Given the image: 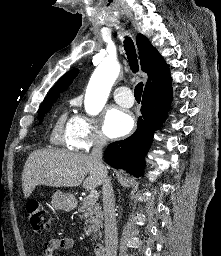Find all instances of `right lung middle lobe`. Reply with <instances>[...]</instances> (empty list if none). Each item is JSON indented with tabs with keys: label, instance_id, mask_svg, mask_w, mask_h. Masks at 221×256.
Instances as JSON below:
<instances>
[{
	"label": "right lung middle lobe",
	"instance_id": "right-lung-middle-lobe-1",
	"mask_svg": "<svg viewBox=\"0 0 221 256\" xmlns=\"http://www.w3.org/2000/svg\"><path fill=\"white\" fill-rule=\"evenodd\" d=\"M58 96H51L43 101L41 104L39 110H38V119L40 124L43 121L44 115L50 110L52 107V103H54L57 100Z\"/></svg>",
	"mask_w": 221,
	"mask_h": 256
}]
</instances>
